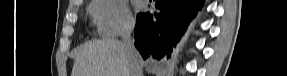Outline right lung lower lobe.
Here are the masks:
<instances>
[{"mask_svg":"<svg viewBox=\"0 0 287 76\" xmlns=\"http://www.w3.org/2000/svg\"><path fill=\"white\" fill-rule=\"evenodd\" d=\"M203 0H158L155 20L149 13L138 14L135 46L144 59L170 57L173 46L181 39Z\"/></svg>","mask_w":287,"mask_h":76,"instance_id":"1","label":"right lung lower lobe"}]
</instances>
